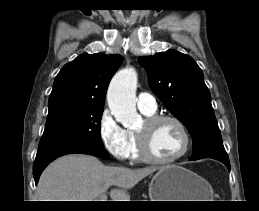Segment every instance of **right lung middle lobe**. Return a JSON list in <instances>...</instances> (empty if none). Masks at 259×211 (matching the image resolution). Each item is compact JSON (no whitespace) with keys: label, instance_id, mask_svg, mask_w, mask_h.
<instances>
[{"label":"right lung middle lobe","instance_id":"right-lung-middle-lobe-1","mask_svg":"<svg viewBox=\"0 0 259 211\" xmlns=\"http://www.w3.org/2000/svg\"><path fill=\"white\" fill-rule=\"evenodd\" d=\"M103 108H84L47 119L39 149L65 143L103 148L100 120Z\"/></svg>","mask_w":259,"mask_h":211}]
</instances>
